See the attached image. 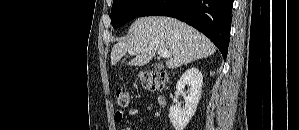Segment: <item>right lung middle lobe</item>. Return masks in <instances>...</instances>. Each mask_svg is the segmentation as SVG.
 <instances>
[{"mask_svg":"<svg viewBox=\"0 0 299 130\" xmlns=\"http://www.w3.org/2000/svg\"><path fill=\"white\" fill-rule=\"evenodd\" d=\"M153 0H113L111 22L113 28L123 26L137 17Z\"/></svg>","mask_w":299,"mask_h":130,"instance_id":"1","label":"right lung middle lobe"}]
</instances>
